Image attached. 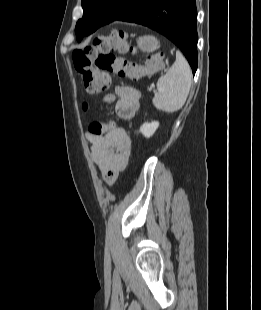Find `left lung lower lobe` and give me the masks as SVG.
Returning <instances> with one entry per match:
<instances>
[{"label": "left lung lower lobe", "mask_w": 261, "mask_h": 310, "mask_svg": "<svg viewBox=\"0 0 261 310\" xmlns=\"http://www.w3.org/2000/svg\"><path fill=\"white\" fill-rule=\"evenodd\" d=\"M115 20L141 24L169 38L184 53L195 74L198 64L195 0H129L125 10L112 21ZM105 24L89 23L76 36L77 40L80 42Z\"/></svg>", "instance_id": "obj_1"}]
</instances>
